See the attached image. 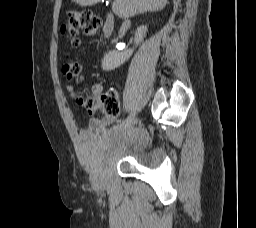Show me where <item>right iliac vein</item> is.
<instances>
[{"mask_svg": "<svg viewBox=\"0 0 256 228\" xmlns=\"http://www.w3.org/2000/svg\"><path fill=\"white\" fill-rule=\"evenodd\" d=\"M137 123V119H132L127 125L126 129L127 130H132L134 125ZM122 130H125V127H122Z\"/></svg>", "mask_w": 256, "mask_h": 228, "instance_id": "right-iliac-vein-1", "label": "right iliac vein"}]
</instances>
